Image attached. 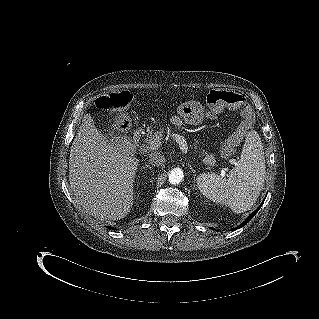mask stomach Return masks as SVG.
<instances>
[{
	"mask_svg": "<svg viewBox=\"0 0 319 319\" xmlns=\"http://www.w3.org/2000/svg\"><path fill=\"white\" fill-rule=\"evenodd\" d=\"M179 114L188 124L197 125L204 119V109L191 102L184 103L179 108Z\"/></svg>",
	"mask_w": 319,
	"mask_h": 319,
	"instance_id": "1",
	"label": "stomach"
}]
</instances>
